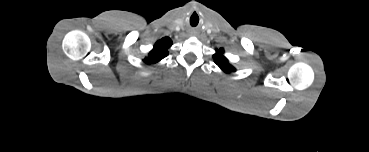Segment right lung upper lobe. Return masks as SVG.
I'll return each mask as SVG.
<instances>
[{"instance_id": "1", "label": "right lung upper lobe", "mask_w": 369, "mask_h": 152, "mask_svg": "<svg viewBox=\"0 0 369 152\" xmlns=\"http://www.w3.org/2000/svg\"><path fill=\"white\" fill-rule=\"evenodd\" d=\"M171 39L165 37L159 40L143 61L147 64L156 63L168 55V48L171 46Z\"/></svg>"}]
</instances>
